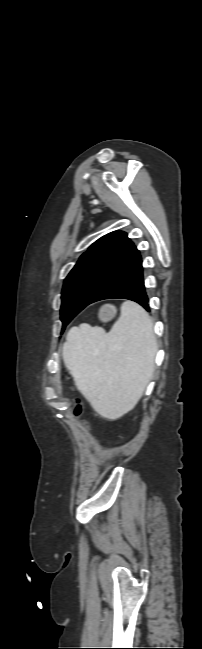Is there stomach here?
Returning a JSON list of instances; mask_svg holds the SVG:
<instances>
[{"label": "stomach", "mask_w": 202, "mask_h": 649, "mask_svg": "<svg viewBox=\"0 0 202 649\" xmlns=\"http://www.w3.org/2000/svg\"><path fill=\"white\" fill-rule=\"evenodd\" d=\"M117 310L113 305H105L100 310V319L108 320L116 314Z\"/></svg>", "instance_id": "stomach-1"}]
</instances>
